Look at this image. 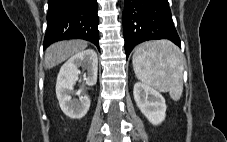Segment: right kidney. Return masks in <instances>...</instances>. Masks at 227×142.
<instances>
[{"instance_id": "obj_1", "label": "right kidney", "mask_w": 227, "mask_h": 142, "mask_svg": "<svg viewBox=\"0 0 227 142\" xmlns=\"http://www.w3.org/2000/svg\"><path fill=\"white\" fill-rule=\"evenodd\" d=\"M79 67L87 70L83 80L88 86L97 82L98 58L92 49L81 51L72 56L60 69L56 82V95L61 110L70 118L84 117L90 107V98L81 96L79 100L72 98L73 86L78 80Z\"/></svg>"}]
</instances>
